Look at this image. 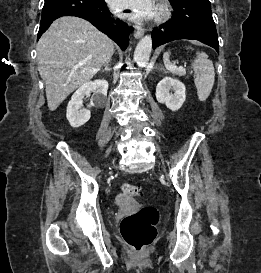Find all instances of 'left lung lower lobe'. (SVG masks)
Wrapping results in <instances>:
<instances>
[{"instance_id":"obj_1","label":"left lung lower lobe","mask_w":261,"mask_h":273,"mask_svg":"<svg viewBox=\"0 0 261 273\" xmlns=\"http://www.w3.org/2000/svg\"><path fill=\"white\" fill-rule=\"evenodd\" d=\"M172 18L152 32L153 49L177 39H195L219 52L209 0H171Z\"/></svg>"}]
</instances>
